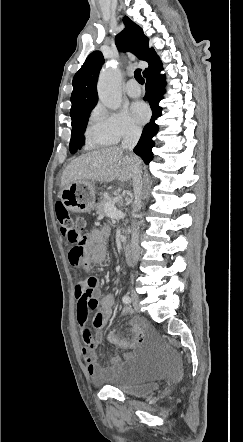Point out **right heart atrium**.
<instances>
[{
  "instance_id": "d8ad5b80",
  "label": "right heart atrium",
  "mask_w": 243,
  "mask_h": 442,
  "mask_svg": "<svg viewBox=\"0 0 243 442\" xmlns=\"http://www.w3.org/2000/svg\"><path fill=\"white\" fill-rule=\"evenodd\" d=\"M100 131L118 143L123 139L133 138L140 134V127L126 110H107L99 107L95 115Z\"/></svg>"
}]
</instances>
